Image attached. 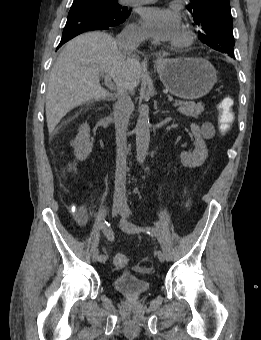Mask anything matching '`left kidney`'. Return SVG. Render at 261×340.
I'll return each instance as SVG.
<instances>
[{"instance_id":"5707ae66","label":"left kidney","mask_w":261,"mask_h":340,"mask_svg":"<svg viewBox=\"0 0 261 340\" xmlns=\"http://www.w3.org/2000/svg\"><path fill=\"white\" fill-rule=\"evenodd\" d=\"M190 129L195 137V149L193 152H182L180 158L185 167L196 168L205 162L208 156V150L205 141L202 139L199 126L192 123Z\"/></svg>"}]
</instances>
